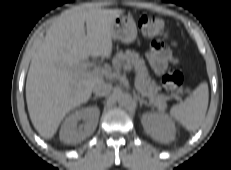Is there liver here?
<instances>
[{"instance_id": "obj_1", "label": "liver", "mask_w": 231, "mask_h": 170, "mask_svg": "<svg viewBox=\"0 0 231 170\" xmlns=\"http://www.w3.org/2000/svg\"><path fill=\"white\" fill-rule=\"evenodd\" d=\"M122 14L120 9L77 6L47 30L26 80L30 119L43 138H52L66 114L87 102L102 81L100 75L82 70L83 61L90 55L110 57L113 23Z\"/></svg>"}]
</instances>
